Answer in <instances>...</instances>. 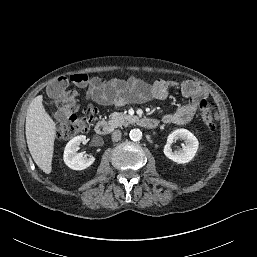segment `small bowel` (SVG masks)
I'll list each match as a JSON object with an SVG mask.
<instances>
[{
  "instance_id": "1",
  "label": "small bowel",
  "mask_w": 257,
  "mask_h": 257,
  "mask_svg": "<svg viewBox=\"0 0 257 257\" xmlns=\"http://www.w3.org/2000/svg\"><path fill=\"white\" fill-rule=\"evenodd\" d=\"M171 89H178L188 103L179 107L175 112L162 117L165 124L183 125L194 117L201 99L206 97V90L194 81L186 80L178 83L174 80H157L148 84L137 77L117 81L94 77L91 79L85 98L104 106L122 107L126 104L142 103L151 99L164 100ZM52 99H55L48 92Z\"/></svg>"
}]
</instances>
